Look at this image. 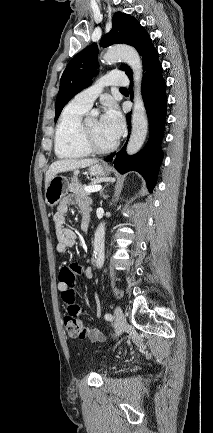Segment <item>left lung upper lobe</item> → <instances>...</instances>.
<instances>
[{
    "label": "left lung upper lobe",
    "instance_id": "left-lung-upper-lobe-1",
    "mask_svg": "<svg viewBox=\"0 0 213 433\" xmlns=\"http://www.w3.org/2000/svg\"><path fill=\"white\" fill-rule=\"evenodd\" d=\"M117 43H125L135 47L142 56V61H144L147 53L154 48L151 38L140 23L134 17L122 12L114 14L112 29L102 38L100 46L108 47ZM97 57L98 46L93 43L75 55L67 65L61 76L56 98L55 122L68 101L90 85L92 77L97 72ZM120 68L128 76L131 75V69L127 65H121Z\"/></svg>",
    "mask_w": 213,
    "mask_h": 433
}]
</instances>
